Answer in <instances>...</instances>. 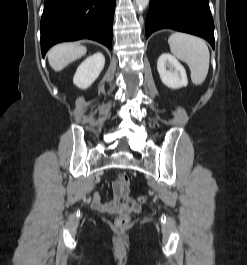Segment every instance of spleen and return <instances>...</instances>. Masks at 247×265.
Here are the masks:
<instances>
[{"label": "spleen", "mask_w": 247, "mask_h": 265, "mask_svg": "<svg viewBox=\"0 0 247 265\" xmlns=\"http://www.w3.org/2000/svg\"><path fill=\"white\" fill-rule=\"evenodd\" d=\"M168 43L171 53L186 62L191 71V80L195 85L204 82L208 70L210 54L205 41L186 33H173Z\"/></svg>", "instance_id": "spleen-1"}]
</instances>
